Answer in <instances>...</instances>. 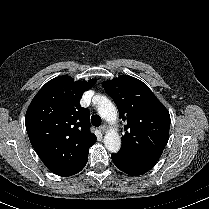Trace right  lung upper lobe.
Returning a JSON list of instances; mask_svg holds the SVG:
<instances>
[{
	"instance_id": "obj_1",
	"label": "right lung upper lobe",
	"mask_w": 209,
	"mask_h": 209,
	"mask_svg": "<svg viewBox=\"0 0 209 209\" xmlns=\"http://www.w3.org/2000/svg\"><path fill=\"white\" fill-rule=\"evenodd\" d=\"M95 82L56 77L39 90L28 107L25 125L30 142L56 175L67 176L96 142L97 137L89 131V111L79 104Z\"/></svg>"
}]
</instances>
